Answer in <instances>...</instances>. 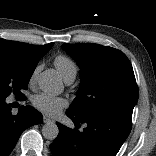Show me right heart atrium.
<instances>
[{
  "instance_id": "obj_1",
  "label": "right heart atrium",
  "mask_w": 156,
  "mask_h": 156,
  "mask_svg": "<svg viewBox=\"0 0 156 156\" xmlns=\"http://www.w3.org/2000/svg\"><path fill=\"white\" fill-rule=\"evenodd\" d=\"M41 66L38 65L32 72V74L30 75V78H29V83L30 84H33L36 80V75L38 73V71L40 70Z\"/></svg>"
}]
</instances>
